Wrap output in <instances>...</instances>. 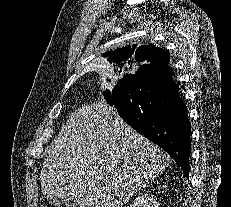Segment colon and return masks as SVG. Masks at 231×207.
Segmentation results:
<instances>
[{"label":"colon","mask_w":231,"mask_h":207,"mask_svg":"<svg viewBox=\"0 0 231 207\" xmlns=\"http://www.w3.org/2000/svg\"><path fill=\"white\" fill-rule=\"evenodd\" d=\"M41 207H69L65 203L52 201V200H44L41 203Z\"/></svg>","instance_id":"colon-1"}]
</instances>
